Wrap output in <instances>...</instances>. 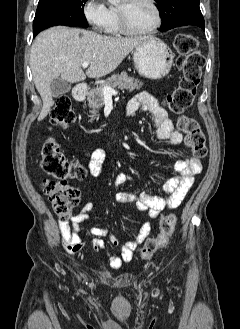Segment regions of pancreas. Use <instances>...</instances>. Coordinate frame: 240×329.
I'll return each mask as SVG.
<instances>
[{"instance_id":"pancreas-1","label":"pancreas","mask_w":240,"mask_h":329,"mask_svg":"<svg viewBox=\"0 0 240 329\" xmlns=\"http://www.w3.org/2000/svg\"><path fill=\"white\" fill-rule=\"evenodd\" d=\"M143 85L142 82H140L138 79H134L132 77H128V75L125 72H122L118 75H112L109 79L104 81L100 87H96L94 89H91L88 93L87 101L88 106L91 108V115H90V122L93 121L95 116L98 113V110L104 106V94L102 91V88L104 86H109L111 88H120V89H126L131 91H134L135 89H140Z\"/></svg>"}]
</instances>
